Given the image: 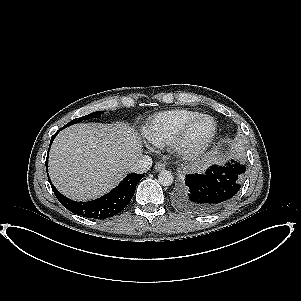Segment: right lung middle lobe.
<instances>
[{
	"label": "right lung middle lobe",
	"mask_w": 301,
	"mask_h": 301,
	"mask_svg": "<svg viewBox=\"0 0 301 301\" xmlns=\"http://www.w3.org/2000/svg\"><path fill=\"white\" fill-rule=\"evenodd\" d=\"M103 113V111H98V112H93L89 115H86V116H83V117H80V118H76L74 120H72L70 123H68L67 125H65L63 128H66L70 125H73V124H76V123H79L83 120H89V119H93V118H96L97 116H100L101 114Z\"/></svg>",
	"instance_id": "right-lung-middle-lobe-1"
}]
</instances>
